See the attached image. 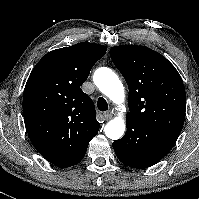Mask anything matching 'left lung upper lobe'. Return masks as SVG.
<instances>
[{
  "label": "left lung upper lobe",
  "mask_w": 199,
  "mask_h": 199,
  "mask_svg": "<svg viewBox=\"0 0 199 199\" xmlns=\"http://www.w3.org/2000/svg\"><path fill=\"white\" fill-rule=\"evenodd\" d=\"M110 56L129 88L126 119L177 140L185 120L186 95L175 67L141 46H115Z\"/></svg>",
  "instance_id": "left-lung-upper-lobe-1"
}]
</instances>
